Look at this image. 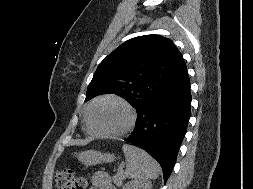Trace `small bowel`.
Wrapping results in <instances>:
<instances>
[{
    "label": "small bowel",
    "mask_w": 253,
    "mask_h": 189,
    "mask_svg": "<svg viewBox=\"0 0 253 189\" xmlns=\"http://www.w3.org/2000/svg\"><path fill=\"white\" fill-rule=\"evenodd\" d=\"M92 189H116L112 184L110 176L104 171H97L93 174Z\"/></svg>",
    "instance_id": "c3829d8e"
}]
</instances>
